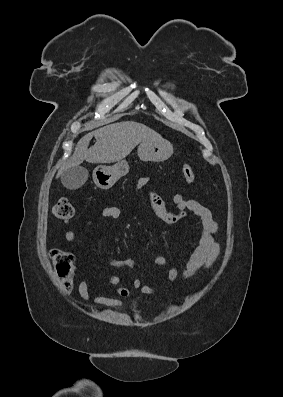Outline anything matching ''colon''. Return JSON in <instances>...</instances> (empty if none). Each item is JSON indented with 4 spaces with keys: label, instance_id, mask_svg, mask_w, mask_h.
Returning <instances> with one entry per match:
<instances>
[{
    "label": "colon",
    "instance_id": "obj_1",
    "mask_svg": "<svg viewBox=\"0 0 283 397\" xmlns=\"http://www.w3.org/2000/svg\"><path fill=\"white\" fill-rule=\"evenodd\" d=\"M182 174L189 185L194 184L196 176L191 165L183 164ZM53 214L57 219L68 222L74 217L75 210L71 202L63 198L55 204ZM51 259L62 289L67 293L70 292L73 288L75 272L73 255L68 251L55 249L51 252Z\"/></svg>",
    "mask_w": 283,
    "mask_h": 397
}]
</instances>
